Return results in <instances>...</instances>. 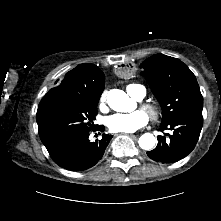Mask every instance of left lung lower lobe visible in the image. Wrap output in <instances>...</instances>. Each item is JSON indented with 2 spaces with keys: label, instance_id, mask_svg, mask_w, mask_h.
Listing matches in <instances>:
<instances>
[{
  "label": "left lung lower lobe",
  "instance_id": "obj_1",
  "mask_svg": "<svg viewBox=\"0 0 221 221\" xmlns=\"http://www.w3.org/2000/svg\"><path fill=\"white\" fill-rule=\"evenodd\" d=\"M203 126L202 110H193L185 115H179L168 123L161 125V130H172L173 134L165 133L158 136V145L147 155L156 162L174 163L185 158L194 148ZM168 135V138L166 136ZM173 148L169 156L163 155L165 148Z\"/></svg>",
  "mask_w": 221,
  "mask_h": 221
}]
</instances>
